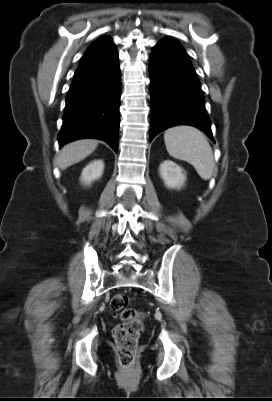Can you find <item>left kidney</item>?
<instances>
[{
	"label": "left kidney",
	"mask_w": 272,
	"mask_h": 401,
	"mask_svg": "<svg viewBox=\"0 0 272 401\" xmlns=\"http://www.w3.org/2000/svg\"><path fill=\"white\" fill-rule=\"evenodd\" d=\"M160 176L168 188L180 189L186 181L183 169L170 160H165L159 167Z\"/></svg>",
	"instance_id": "left-kidney-1"
}]
</instances>
